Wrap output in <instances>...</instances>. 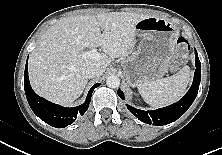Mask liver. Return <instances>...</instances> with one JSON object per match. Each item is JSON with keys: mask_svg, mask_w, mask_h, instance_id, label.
I'll use <instances>...</instances> for the list:
<instances>
[{"mask_svg": "<svg viewBox=\"0 0 222 155\" xmlns=\"http://www.w3.org/2000/svg\"><path fill=\"white\" fill-rule=\"evenodd\" d=\"M147 17L109 12L59 20L42 35L29 57L32 88L52 102L71 104L88 82L86 68L97 64L105 70L114 58L130 54L135 47V25ZM88 47H101V59L83 58Z\"/></svg>", "mask_w": 222, "mask_h": 155, "instance_id": "6515ba94", "label": "liver"}]
</instances>
